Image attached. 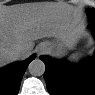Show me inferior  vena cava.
Wrapping results in <instances>:
<instances>
[{"instance_id": "1", "label": "inferior vena cava", "mask_w": 95, "mask_h": 95, "mask_svg": "<svg viewBox=\"0 0 95 95\" xmlns=\"http://www.w3.org/2000/svg\"><path fill=\"white\" fill-rule=\"evenodd\" d=\"M13 55L17 58H20L22 56V48L20 46H17L14 51Z\"/></svg>"}]
</instances>
